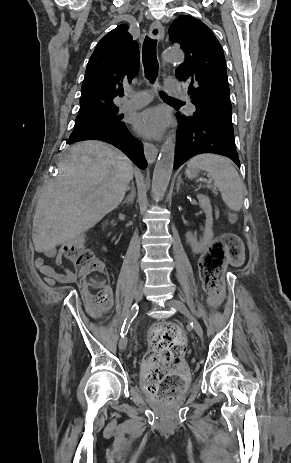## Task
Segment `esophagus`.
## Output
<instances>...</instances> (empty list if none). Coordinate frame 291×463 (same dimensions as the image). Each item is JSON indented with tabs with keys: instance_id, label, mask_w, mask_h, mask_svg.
I'll return each mask as SVG.
<instances>
[{
	"instance_id": "esophagus-1",
	"label": "esophagus",
	"mask_w": 291,
	"mask_h": 463,
	"mask_svg": "<svg viewBox=\"0 0 291 463\" xmlns=\"http://www.w3.org/2000/svg\"><path fill=\"white\" fill-rule=\"evenodd\" d=\"M149 34L153 39L163 40L164 28L158 21H154L149 29ZM161 65L165 66V62L161 61ZM158 149L154 144L145 142L144 143V154L149 163H153L157 157Z\"/></svg>"
}]
</instances>
